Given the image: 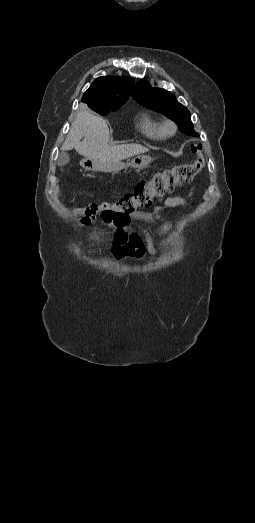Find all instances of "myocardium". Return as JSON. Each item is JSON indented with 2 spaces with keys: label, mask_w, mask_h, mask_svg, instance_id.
<instances>
[{
  "label": "myocardium",
  "mask_w": 255,
  "mask_h": 523,
  "mask_svg": "<svg viewBox=\"0 0 255 523\" xmlns=\"http://www.w3.org/2000/svg\"><path fill=\"white\" fill-rule=\"evenodd\" d=\"M163 130L167 135H172L176 131V125L173 121L168 120L164 123Z\"/></svg>",
  "instance_id": "f54148a6"
}]
</instances>
